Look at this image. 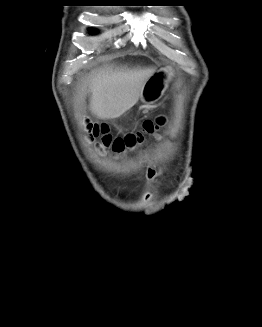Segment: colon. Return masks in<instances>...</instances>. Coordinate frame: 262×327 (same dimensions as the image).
Segmentation results:
<instances>
[{"label":"colon","mask_w":262,"mask_h":327,"mask_svg":"<svg viewBox=\"0 0 262 327\" xmlns=\"http://www.w3.org/2000/svg\"><path fill=\"white\" fill-rule=\"evenodd\" d=\"M163 125V119H148L143 123L141 131L130 134L126 137H113L109 134L105 124L88 122L86 129L91 138H99L104 147H110L116 152H121L125 148L143 141L147 135H154Z\"/></svg>","instance_id":"colon-1"}]
</instances>
